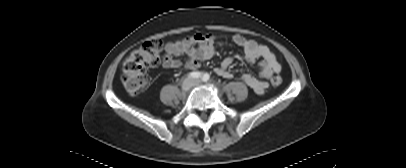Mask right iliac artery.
Returning <instances> with one entry per match:
<instances>
[{
  "mask_svg": "<svg viewBox=\"0 0 406 168\" xmlns=\"http://www.w3.org/2000/svg\"><path fill=\"white\" fill-rule=\"evenodd\" d=\"M188 76L191 77V78H199V77L202 76V73L198 72V71H194V72L189 73Z\"/></svg>",
  "mask_w": 406,
  "mask_h": 168,
  "instance_id": "82829eb1",
  "label": "right iliac artery"
}]
</instances>
